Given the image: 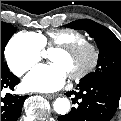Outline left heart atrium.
Masks as SVG:
<instances>
[{
    "label": "left heart atrium",
    "instance_id": "left-heart-atrium-1",
    "mask_svg": "<svg viewBox=\"0 0 121 121\" xmlns=\"http://www.w3.org/2000/svg\"><path fill=\"white\" fill-rule=\"evenodd\" d=\"M67 75L55 64L35 67L25 79V85L43 92L57 91L65 84Z\"/></svg>",
    "mask_w": 121,
    "mask_h": 121
}]
</instances>
